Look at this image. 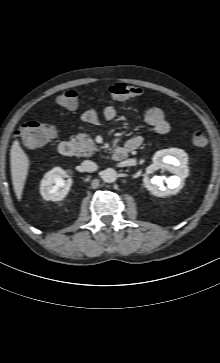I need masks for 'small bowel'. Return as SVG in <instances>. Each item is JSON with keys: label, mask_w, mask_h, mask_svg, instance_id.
Segmentation results:
<instances>
[{"label": "small bowel", "mask_w": 220, "mask_h": 363, "mask_svg": "<svg viewBox=\"0 0 220 363\" xmlns=\"http://www.w3.org/2000/svg\"><path fill=\"white\" fill-rule=\"evenodd\" d=\"M118 116V110L114 106H108L104 109V117L107 120H114ZM82 121L86 124L95 125L98 122V114L94 109H88L82 114ZM145 125L159 135H165L169 132L170 126L166 121L164 112L158 107L149 109L144 116ZM142 137L139 135L128 138L125 147L129 150H135L142 144Z\"/></svg>", "instance_id": "small-bowel-1"}]
</instances>
